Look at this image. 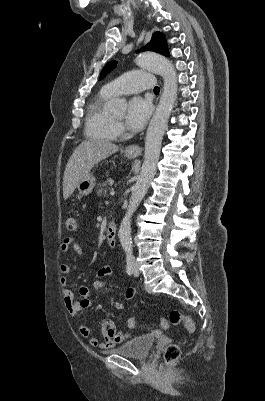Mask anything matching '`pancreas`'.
Here are the masks:
<instances>
[{
	"label": "pancreas",
	"instance_id": "obj_1",
	"mask_svg": "<svg viewBox=\"0 0 265 401\" xmlns=\"http://www.w3.org/2000/svg\"><path fill=\"white\" fill-rule=\"evenodd\" d=\"M113 184L112 178H107L105 182H101L99 186H97V194L98 196H101V194H107L108 190H111V186ZM106 186V188H104Z\"/></svg>",
	"mask_w": 265,
	"mask_h": 401
}]
</instances>
